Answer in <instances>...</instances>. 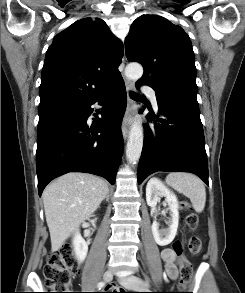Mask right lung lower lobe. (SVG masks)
<instances>
[{
  "instance_id": "obj_1",
  "label": "right lung lower lobe",
  "mask_w": 245,
  "mask_h": 293,
  "mask_svg": "<svg viewBox=\"0 0 245 293\" xmlns=\"http://www.w3.org/2000/svg\"><path fill=\"white\" fill-rule=\"evenodd\" d=\"M94 103L106 108L101 112L102 118L90 125L87 119ZM125 108L126 89L119 77L89 100L38 125L39 196L51 180L68 172L95 174L114 184L124 148L121 121Z\"/></svg>"
}]
</instances>
